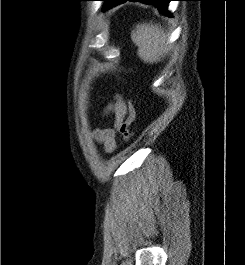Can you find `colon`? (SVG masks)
<instances>
[{"mask_svg":"<svg viewBox=\"0 0 245 265\" xmlns=\"http://www.w3.org/2000/svg\"><path fill=\"white\" fill-rule=\"evenodd\" d=\"M136 118L135 108L132 103L127 104V117L121 122L118 131L125 141H129L132 138L131 126Z\"/></svg>","mask_w":245,"mask_h":265,"instance_id":"obj_1","label":"colon"}]
</instances>
